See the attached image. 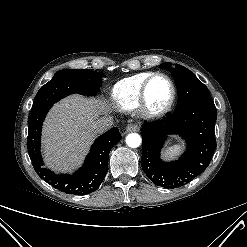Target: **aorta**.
<instances>
[{
	"mask_svg": "<svg viewBox=\"0 0 247 247\" xmlns=\"http://www.w3.org/2000/svg\"><path fill=\"white\" fill-rule=\"evenodd\" d=\"M142 139L139 134L131 133L126 137V144L131 148H137L141 145Z\"/></svg>",
	"mask_w": 247,
	"mask_h": 247,
	"instance_id": "obj_1",
	"label": "aorta"
}]
</instances>
